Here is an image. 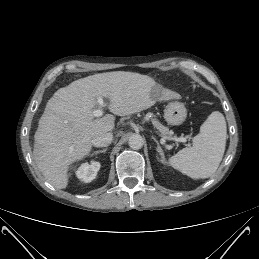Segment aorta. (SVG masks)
Instances as JSON below:
<instances>
[{
  "instance_id": "1",
  "label": "aorta",
  "mask_w": 259,
  "mask_h": 259,
  "mask_svg": "<svg viewBox=\"0 0 259 259\" xmlns=\"http://www.w3.org/2000/svg\"><path fill=\"white\" fill-rule=\"evenodd\" d=\"M130 148L134 150H139L143 147L144 140L141 135L133 134L128 141Z\"/></svg>"
}]
</instances>
